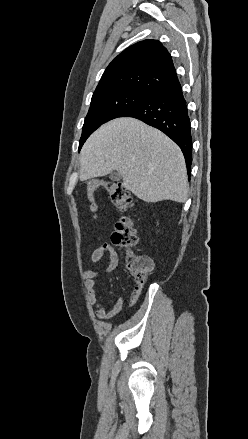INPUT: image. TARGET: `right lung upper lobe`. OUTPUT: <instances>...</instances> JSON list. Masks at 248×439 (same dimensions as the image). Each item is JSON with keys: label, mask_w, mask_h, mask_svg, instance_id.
I'll return each mask as SVG.
<instances>
[{"label": "right lung upper lobe", "mask_w": 248, "mask_h": 439, "mask_svg": "<svg viewBox=\"0 0 248 439\" xmlns=\"http://www.w3.org/2000/svg\"><path fill=\"white\" fill-rule=\"evenodd\" d=\"M177 79L171 55L161 42L143 40L113 59L104 71L92 99L119 91L150 95Z\"/></svg>", "instance_id": "1"}]
</instances>
